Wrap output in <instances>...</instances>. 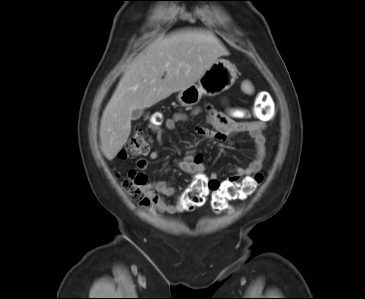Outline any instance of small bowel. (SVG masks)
<instances>
[{"instance_id": "small-bowel-1", "label": "small bowel", "mask_w": 365, "mask_h": 299, "mask_svg": "<svg viewBox=\"0 0 365 299\" xmlns=\"http://www.w3.org/2000/svg\"><path fill=\"white\" fill-rule=\"evenodd\" d=\"M200 112V109L194 110L193 114ZM207 126H196V132L199 136L207 139L227 141L232 134L245 132L252 139L254 144V155L246 167L236 168L232 175L223 183H230L240 180L245 176L258 173L264 164L267 156V146L263 130L266 123L263 119L236 121L228 118L211 107H206ZM188 120L186 114L178 113L164 121L163 127L156 132L158 143H162V136L166 131H172L176 128L177 123ZM160 154L153 150L149 153L151 160H158ZM147 161L141 159L137 166L140 170L147 168ZM176 166L183 171L194 174L198 182L203 183H220L219 176L215 173L206 174L203 164V157L200 154H189L176 162ZM147 193L152 199V204L157 211L175 213L179 211L178 206L171 205L165 201L163 196H172L175 193L174 188L165 180H158L147 186Z\"/></svg>"}]
</instances>
